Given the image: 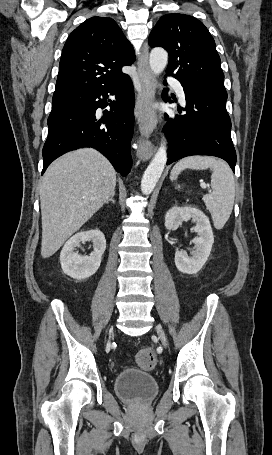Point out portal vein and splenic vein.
I'll list each match as a JSON object with an SVG mask.
<instances>
[{"label": "portal vein and splenic vein", "mask_w": 272, "mask_h": 455, "mask_svg": "<svg viewBox=\"0 0 272 455\" xmlns=\"http://www.w3.org/2000/svg\"><path fill=\"white\" fill-rule=\"evenodd\" d=\"M200 186H201L203 189H206V188H207V185H206L204 182H201V183H200Z\"/></svg>", "instance_id": "1"}]
</instances>
